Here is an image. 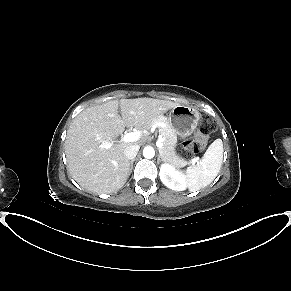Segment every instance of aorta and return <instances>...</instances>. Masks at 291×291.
<instances>
[{"instance_id": "aorta-1", "label": "aorta", "mask_w": 291, "mask_h": 291, "mask_svg": "<svg viewBox=\"0 0 291 291\" xmlns=\"http://www.w3.org/2000/svg\"><path fill=\"white\" fill-rule=\"evenodd\" d=\"M155 155V150L152 146H146L144 149H143V156L147 159H151L153 158Z\"/></svg>"}]
</instances>
